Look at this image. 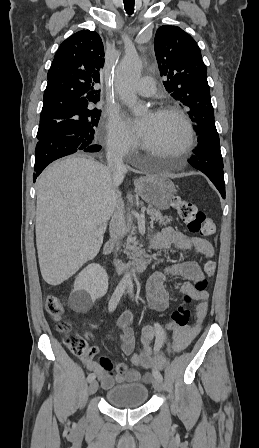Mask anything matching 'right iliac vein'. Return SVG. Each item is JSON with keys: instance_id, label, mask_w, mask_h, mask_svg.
Listing matches in <instances>:
<instances>
[{"instance_id": "63e3f726", "label": "right iliac vein", "mask_w": 259, "mask_h": 448, "mask_svg": "<svg viewBox=\"0 0 259 448\" xmlns=\"http://www.w3.org/2000/svg\"><path fill=\"white\" fill-rule=\"evenodd\" d=\"M97 390H98V382L94 380L90 383L88 390L89 395H93L94 393H96Z\"/></svg>"}]
</instances>
